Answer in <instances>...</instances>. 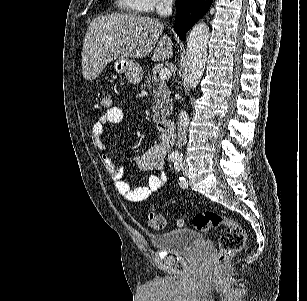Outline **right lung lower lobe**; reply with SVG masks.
Wrapping results in <instances>:
<instances>
[{"label":"right lung lower lobe","instance_id":"98d812e1","mask_svg":"<svg viewBox=\"0 0 307 301\" xmlns=\"http://www.w3.org/2000/svg\"><path fill=\"white\" fill-rule=\"evenodd\" d=\"M213 0H177L174 30L184 40L185 33L209 10Z\"/></svg>","mask_w":307,"mask_h":301}]
</instances>
